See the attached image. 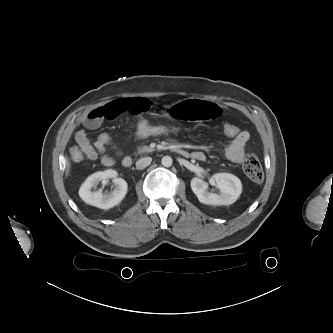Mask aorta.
<instances>
[{"instance_id":"obj_1","label":"aorta","mask_w":333,"mask_h":333,"mask_svg":"<svg viewBox=\"0 0 333 333\" xmlns=\"http://www.w3.org/2000/svg\"><path fill=\"white\" fill-rule=\"evenodd\" d=\"M161 163L164 167H170L173 163V160L170 156H164L161 160Z\"/></svg>"}]
</instances>
